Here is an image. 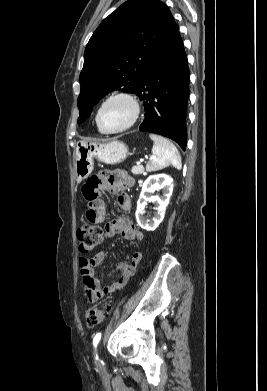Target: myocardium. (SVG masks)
I'll list each match as a JSON object with an SVG mask.
<instances>
[{"mask_svg":"<svg viewBox=\"0 0 267 391\" xmlns=\"http://www.w3.org/2000/svg\"><path fill=\"white\" fill-rule=\"evenodd\" d=\"M115 99H123V100L127 101L131 106L132 114H131L130 120L123 127L118 128V129H114V130H108L102 126L101 121H100V115H101V111H102L103 107L107 103H109L110 101L115 100ZM140 111H141L140 103L135 95H133L132 93H130L128 91H117V92H114V93H111L110 95H108L100 103V105L97 109V112H96L95 121H96L98 129L102 133L116 134V133H120V132H123V131L130 129L138 120L139 115H140Z\"/></svg>","mask_w":267,"mask_h":391,"instance_id":"1","label":"myocardium"}]
</instances>
